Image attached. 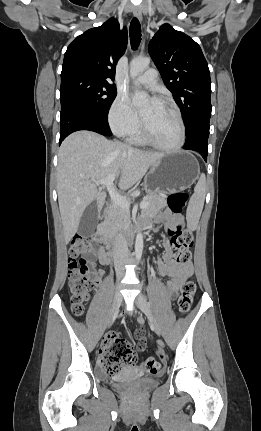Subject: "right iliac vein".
Here are the masks:
<instances>
[{"label":"right iliac vein","mask_w":261,"mask_h":431,"mask_svg":"<svg viewBox=\"0 0 261 431\" xmlns=\"http://www.w3.org/2000/svg\"><path fill=\"white\" fill-rule=\"evenodd\" d=\"M121 302H122V296H121V293H120V283H118L117 287H116V291H115L113 303H112V308H111V311H110L108 325L117 316V314L119 312V308H120Z\"/></svg>","instance_id":"1"}]
</instances>
